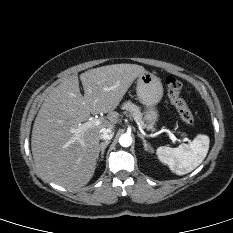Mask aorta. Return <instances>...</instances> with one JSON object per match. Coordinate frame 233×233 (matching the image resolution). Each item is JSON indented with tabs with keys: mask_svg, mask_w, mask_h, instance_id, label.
<instances>
[{
	"mask_svg": "<svg viewBox=\"0 0 233 233\" xmlns=\"http://www.w3.org/2000/svg\"><path fill=\"white\" fill-rule=\"evenodd\" d=\"M122 147H129L132 144V137L129 134H123L119 138Z\"/></svg>",
	"mask_w": 233,
	"mask_h": 233,
	"instance_id": "aorta-1",
	"label": "aorta"
}]
</instances>
